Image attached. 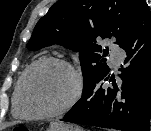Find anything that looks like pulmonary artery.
<instances>
[{
    "label": "pulmonary artery",
    "instance_id": "obj_1",
    "mask_svg": "<svg viewBox=\"0 0 151 131\" xmlns=\"http://www.w3.org/2000/svg\"><path fill=\"white\" fill-rule=\"evenodd\" d=\"M123 59V53L119 48H114L112 50V63L118 66Z\"/></svg>",
    "mask_w": 151,
    "mask_h": 131
}]
</instances>
